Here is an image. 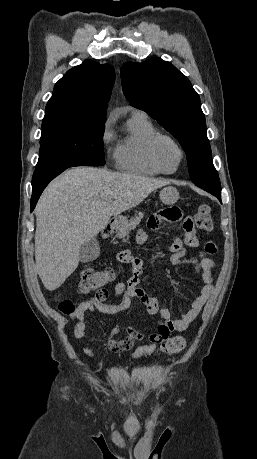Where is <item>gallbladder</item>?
Listing matches in <instances>:
<instances>
[{"label": "gallbladder", "mask_w": 257, "mask_h": 459, "mask_svg": "<svg viewBox=\"0 0 257 459\" xmlns=\"http://www.w3.org/2000/svg\"><path fill=\"white\" fill-rule=\"evenodd\" d=\"M100 254L99 242L96 237L87 240L80 248L79 259L81 262H89L98 258Z\"/></svg>", "instance_id": "gallbladder-1"}]
</instances>
